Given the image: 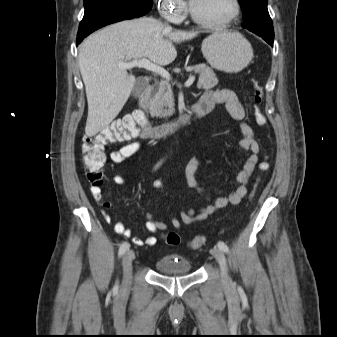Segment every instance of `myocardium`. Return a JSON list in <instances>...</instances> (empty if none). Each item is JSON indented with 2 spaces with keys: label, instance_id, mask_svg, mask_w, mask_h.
Listing matches in <instances>:
<instances>
[{
  "label": "myocardium",
  "instance_id": "1",
  "mask_svg": "<svg viewBox=\"0 0 337 337\" xmlns=\"http://www.w3.org/2000/svg\"><path fill=\"white\" fill-rule=\"evenodd\" d=\"M232 10L228 17L220 21H212L198 16L192 5H189V14L192 20L204 27L208 28H225L235 21L241 12V2L240 0H231Z\"/></svg>",
  "mask_w": 337,
  "mask_h": 337
}]
</instances>
